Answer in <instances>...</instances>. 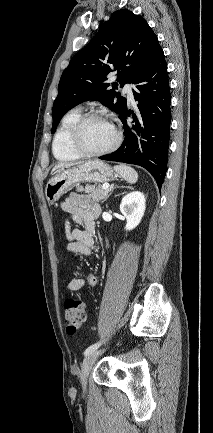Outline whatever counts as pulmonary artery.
I'll list each match as a JSON object with an SVG mask.
<instances>
[{"label": "pulmonary artery", "instance_id": "pulmonary-artery-1", "mask_svg": "<svg viewBox=\"0 0 213 433\" xmlns=\"http://www.w3.org/2000/svg\"><path fill=\"white\" fill-rule=\"evenodd\" d=\"M124 93L127 95L128 99L130 101L134 100V95H133V86L131 84H126L123 88Z\"/></svg>", "mask_w": 213, "mask_h": 433}]
</instances>
